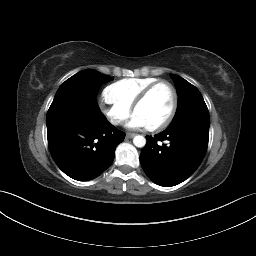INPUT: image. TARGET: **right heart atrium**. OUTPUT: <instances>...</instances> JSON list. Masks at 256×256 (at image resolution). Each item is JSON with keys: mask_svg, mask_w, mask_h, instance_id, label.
Listing matches in <instances>:
<instances>
[{"mask_svg": "<svg viewBox=\"0 0 256 256\" xmlns=\"http://www.w3.org/2000/svg\"><path fill=\"white\" fill-rule=\"evenodd\" d=\"M102 112L112 125L119 126L128 119L131 108L110 100L105 93L102 99Z\"/></svg>", "mask_w": 256, "mask_h": 256, "instance_id": "obj_1", "label": "right heart atrium"}]
</instances>
